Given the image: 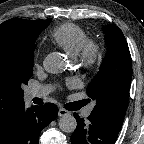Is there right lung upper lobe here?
<instances>
[{
    "label": "right lung upper lobe",
    "instance_id": "obj_1",
    "mask_svg": "<svg viewBox=\"0 0 144 144\" xmlns=\"http://www.w3.org/2000/svg\"><path fill=\"white\" fill-rule=\"evenodd\" d=\"M51 19L30 21L13 18L0 25V131L14 118L24 105L23 95L10 79V59L18 52L23 39L42 31Z\"/></svg>",
    "mask_w": 144,
    "mask_h": 144
}]
</instances>
